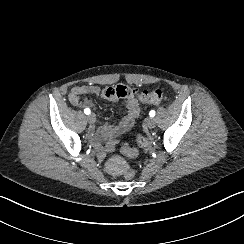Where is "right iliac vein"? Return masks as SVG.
<instances>
[{
    "mask_svg": "<svg viewBox=\"0 0 244 244\" xmlns=\"http://www.w3.org/2000/svg\"><path fill=\"white\" fill-rule=\"evenodd\" d=\"M87 120H88V122L90 124H94L96 122V116H95V114H93V113L88 114Z\"/></svg>",
    "mask_w": 244,
    "mask_h": 244,
    "instance_id": "obj_1",
    "label": "right iliac vein"
}]
</instances>
